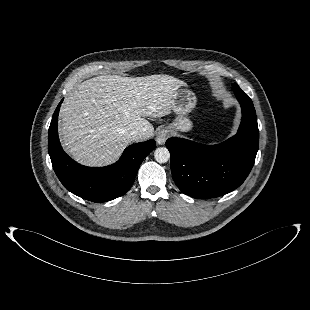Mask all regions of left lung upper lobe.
Here are the masks:
<instances>
[{"mask_svg":"<svg viewBox=\"0 0 310 310\" xmlns=\"http://www.w3.org/2000/svg\"><path fill=\"white\" fill-rule=\"evenodd\" d=\"M232 89H233V91H236V90L240 89V87L237 84L234 83L232 85Z\"/></svg>","mask_w":310,"mask_h":310,"instance_id":"1","label":"left lung upper lobe"}]
</instances>
